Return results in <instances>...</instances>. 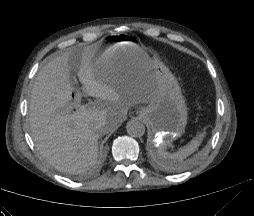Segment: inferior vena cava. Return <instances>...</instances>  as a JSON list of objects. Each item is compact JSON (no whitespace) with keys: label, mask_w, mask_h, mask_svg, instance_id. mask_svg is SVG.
I'll return each mask as SVG.
<instances>
[{"label":"inferior vena cava","mask_w":254,"mask_h":216,"mask_svg":"<svg viewBox=\"0 0 254 216\" xmlns=\"http://www.w3.org/2000/svg\"><path fill=\"white\" fill-rule=\"evenodd\" d=\"M103 125V122H98L96 125H95V129L99 130Z\"/></svg>","instance_id":"obj_1"}]
</instances>
